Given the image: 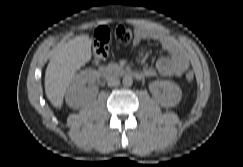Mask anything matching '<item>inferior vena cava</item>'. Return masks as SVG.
I'll use <instances>...</instances> for the list:
<instances>
[{"mask_svg": "<svg viewBox=\"0 0 243 167\" xmlns=\"http://www.w3.org/2000/svg\"><path fill=\"white\" fill-rule=\"evenodd\" d=\"M108 86L113 87V86H118L120 84V80L118 77L112 76L107 79Z\"/></svg>", "mask_w": 243, "mask_h": 167, "instance_id": "inferior-vena-cava-1", "label": "inferior vena cava"}]
</instances>
